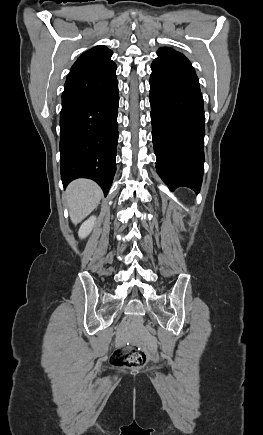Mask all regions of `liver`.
I'll return each instance as SVG.
<instances>
[{
	"mask_svg": "<svg viewBox=\"0 0 263 435\" xmlns=\"http://www.w3.org/2000/svg\"><path fill=\"white\" fill-rule=\"evenodd\" d=\"M101 197L102 191L95 182L88 179L71 182L66 198L72 223L76 225L86 218L99 205Z\"/></svg>",
	"mask_w": 263,
	"mask_h": 435,
	"instance_id": "obj_1",
	"label": "liver"
}]
</instances>
